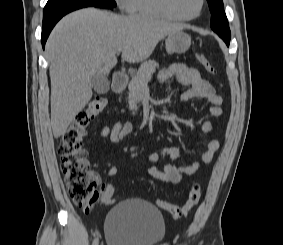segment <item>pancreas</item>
Listing matches in <instances>:
<instances>
[{
	"instance_id": "obj_1",
	"label": "pancreas",
	"mask_w": 283,
	"mask_h": 245,
	"mask_svg": "<svg viewBox=\"0 0 283 245\" xmlns=\"http://www.w3.org/2000/svg\"><path fill=\"white\" fill-rule=\"evenodd\" d=\"M159 64L154 60L145 61L139 67L136 74L132 75L129 83V109L136 110L137 103L140 102L141 92L147 83L151 80L152 74L155 72Z\"/></svg>"
}]
</instances>
